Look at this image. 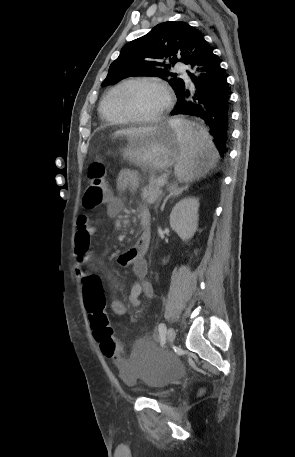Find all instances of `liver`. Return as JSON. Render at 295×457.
Returning <instances> with one entry per match:
<instances>
[{
  "label": "liver",
  "mask_w": 295,
  "mask_h": 457,
  "mask_svg": "<svg viewBox=\"0 0 295 457\" xmlns=\"http://www.w3.org/2000/svg\"><path fill=\"white\" fill-rule=\"evenodd\" d=\"M158 126L154 127H139L118 130L114 133L115 136H126L129 140L148 135L155 131Z\"/></svg>",
  "instance_id": "6515ba94"
}]
</instances>
